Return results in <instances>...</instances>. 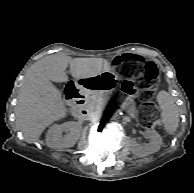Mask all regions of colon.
<instances>
[{
    "mask_svg": "<svg viewBox=\"0 0 194 193\" xmlns=\"http://www.w3.org/2000/svg\"><path fill=\"white\" fill-rule=\"evenodd\" d=\"M116 63L120 65L122 73L126 75L142 74L147 90L142 99V121L146 125L158 124L159 112L151 96V91L157 85L159 76L156 65L137 56H122L117 59Z\"/></svg>",
    "mask_w": 194,
    "mask_h": 193,
    "instance_id": "5ec220e1",
    "label": "colon"
}]
</instances>
